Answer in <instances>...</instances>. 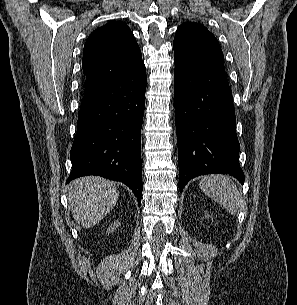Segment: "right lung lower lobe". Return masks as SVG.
I'll use <instances>...</instances> for the list:
<instances>
[{
  "instance_id": "obj_1",
  "label": "right lung lower lobe",
  "mask_w": 297,
  "mask_h": 305,
  "mask_svg": "<svg viewBox=\"0 0 297 305\" xmlns=\"http://www.w3.org/2000/svg\"><path fill=\"white\" fill-rule=\"evenodd\" d=\"M146 68L84 93L71 148L67 180L98 175L126 184L142 196L141 127Z\"/></svg>"
}]
</instances>
